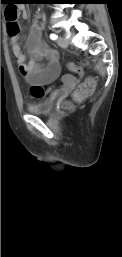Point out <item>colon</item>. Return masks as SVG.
Instances as JSON below:
<instances>
[{"label":"colon","mask_w":122,"mask_h":257,"mask_svg":"<svg viewBox=\"0 0 122 257\" xmlns=\"http://www.w3.org/2000/svg\"><path fill=\"white\" fill-rule=\"evenodd\" d=\"M5 17L7 20V30L10 36L16 35L19 32V25L17 22V10L18 5H4ZM68 67L70 70L76 72V79H83L84 75L83 68L81 65L77 64V61H68ZM96 86L95 79L92 77L87 78L84 82H82L76 89L73 99L75 101H81L84 98L88 97L92 94ZM49 90L46 89L45 85H39L35 83L34 85H29V89H27V94H29L30 98H47V94ZM64 108H69L70 103L65 102L63 104Z\"/></svg>","instance_id":"obj_1"}]
</instances>
